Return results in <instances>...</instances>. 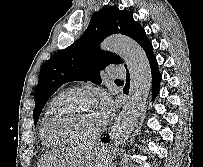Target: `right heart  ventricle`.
Segmentation results:
<instances>
[{
    "label": "right heart ventricle",
    "instance_id": "e07e8e85",
    "mask_svg": "<svg viewBox=\"0 0 203 167\" xmlns=\"http://www.w3.org/2000/svg\"><path fill=\"white\" fill-rule=\"evenodd\" d=\"M73 92H74L73 90L68 88L60 90L54 97L51 98L43 113L39 127V135L42 144L45 145L46 147H57L65 144L64 142L55 139L51 135H49V133L46 130V120L50 115V113Z\"/></svg>",
    "mask_w": 203,
    "mask_h": 167
}]
</instances>
